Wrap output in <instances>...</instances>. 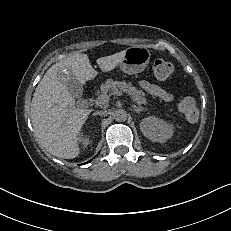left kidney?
<instances>
[{
	"label": "left kidney",
	"instance_id": "left-kidney-1",
	"mask_svg": "<svg viewBox=\"0 0 231 231\" xmlns=\"http://www.w3.org/2000/svg\"><path fill=\"white\" fill-rule=\"evenodd\" d=\"M140 130L149 140L164 143L172 137L174 133L173 126L163 119L149 116L142 119Z\"/></svg>",
	"mask_w": 231,
	"mask_h": 231
}]
</instances>
